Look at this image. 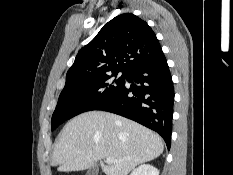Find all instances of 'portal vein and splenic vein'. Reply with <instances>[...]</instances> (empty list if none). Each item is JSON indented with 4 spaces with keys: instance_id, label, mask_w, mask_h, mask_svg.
<instances>
[{
    "instance_id": "portal-vein-and-splenic-vein-1",
    "label": "portal vein and splenic vein",
    "mask_w": 233,
    "mask_h": 175,
    "mask_svg": "<svg viewBox=\"0 0 233 175\" xmlns=\"http://www.w3.org/2000/svg\"><path fill=\"white\" fill-rule=\"evenodd\" d=\"M116 161L113 159V158H106V163L107 164H113L115 163Z\"/></svg>"
}]
</instances>
